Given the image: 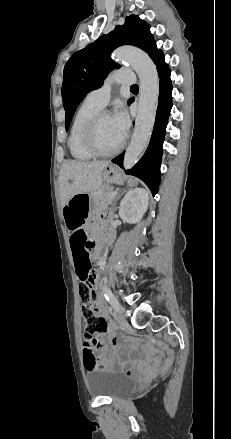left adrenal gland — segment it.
I'll return each instance as SVG.
<instances>
[{
    "label": "left adrenal gland",
    "mask_w": 231,
    "mask_h": 439,
    "mask_svg": "<svg viewBox=\"0 0 231 439\" xmlns=\"http://www.w3.org/2000/svg\"><path fill=\"white\" fill-rule=\"evenodd\" d=\"M124 192H125V190L119 192V194L117 195V197H116V199H115V203H116V201L121 197V195H122ZM115 203L113 204L114 209H116V207H115Z\"/></svg>",
    "instance_id": "left-adrenal-gland-1"
}]
</instances>
